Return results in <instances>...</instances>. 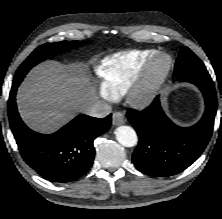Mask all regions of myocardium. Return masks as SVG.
Here are the masks:
<instances>
[{
    "label": "myocardium",
    "mask_w": 222,
    "mask_h": 219,
    "mask_svg": "<svg viewBox=\"0 0 222 219\" xmlns=\"http://www.w3.org/2000/svg\"><path fill=\"white\" fill-rule=\"evenodd\" d=\"M173 67L172 57L158 52L143 67L138 78L126 90L128 101L134 106H145L160 91Z\"/></svg>",
    "instance_id": "f54148a6"
}]
</instances>
